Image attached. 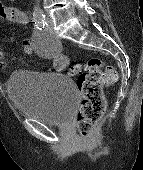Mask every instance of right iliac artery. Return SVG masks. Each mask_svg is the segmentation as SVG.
Here are the masks:
<instances>
[{
    "label": "right iliac artery",
    "mask_w": 143,
    "mask_h": 170,
    "mask_svg": "<svg viewBox=\"0 0 143 170\" xmlns=\"http://www.w3.org/2000/svg\"><path fill=\"white\" fill-rule=\"evenodd\" d=\"M34 22H35L36 28L39 30H41L47 25V22L45 20V15L34 18Z\"/></svg>",
    "instance_id": "82829eb1"
}]
</instances>
